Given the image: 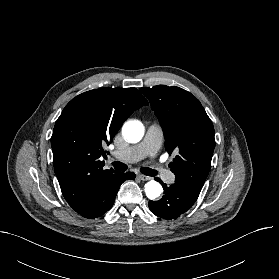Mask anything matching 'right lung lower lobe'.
Instances as JSON below:
<instances>
[{
  "label": "right lung lower lobe",
  "instance_id": "obj_1",
  "mask_svg": "<svg viewBox=\"0 0 279 279\" xmlns=\"http://www.w3.org/2000/svg\"><path fill=\"white\" fill-rule=\"evenodd\" d=\"M135 174L128 172H112L108 174L95 189L87 205L75 211L84 218H97L111 209L120 185L128 179H134Z\"/></svg>",
  "mask_w": 279,
  "mask_h": 279
}]
</instances>
